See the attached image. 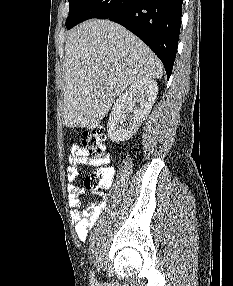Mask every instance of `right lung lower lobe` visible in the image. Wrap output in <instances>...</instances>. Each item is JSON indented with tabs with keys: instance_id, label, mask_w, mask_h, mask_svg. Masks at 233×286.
Instances as JSON below:
<instances>
[{
	"instance_id": "obj_1",
	"label": "right lung lower lobe",
	"mask_w": 233,
	"mask_h": 286,
	"mask_svg": "<svg viewBox=\"0 0 233 286\" xmlns=\"http://www.w3.org/2000/svg\"><path fill=\"white\" fill-rule=\"evenodd\" d=\"M183 0H91L74 24L110 19L144 41L164 64L169 79L176 57Z\"/></svg>"
}]
</instances>
